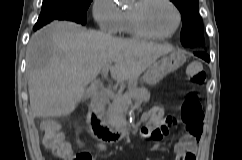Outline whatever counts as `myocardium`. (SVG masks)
I'll list each match as a JSON object with an SVG mask.
<instances>
[{"instance_id":"f54148a6","label":"myocardium","mask_w":242,"mask_h":160,"mask_svg":"<svg viewBox=\"0 0 242 160\" xmlns=\"http://www.w3.org/2000/svg\"><path fill=\"white\" fill-rule=\"evenodd\" d=\"M151 0H136V5L134 8L128 10L130 24L133 31L140 37L153 40H163L173 37L179 30L182 23V14L178 6L173 2V0H164L168 3L176 13V25L174 29L168 34H154L149 32L143 25L141 21L140 12L142 8Z\"/></svg>"}]
</instances>
